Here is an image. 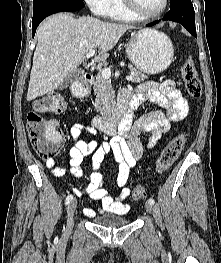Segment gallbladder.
I'll use <instances>...</instances> for the list:
<instances>
[{
	"instance_id": "obj_1",
	"label": "gallbladder",
	"mask_w": 221,
	"mask_h": 263,
	"mask_svg": "<svg viewBox=\"0 0 221 263\" xmlns=\"http://www.w3.org/2000/svg\"><path fill=\"white\" fill-rule=\"evenodd\" d=\"M82 74V71L80 69H77L75 72H73L71 75H69L67 78H65L64 82L58 87L59 90L65 89L68 87L69 84H71L74 80H76L79 75Z\"/></svg>"
}]
</instances>
